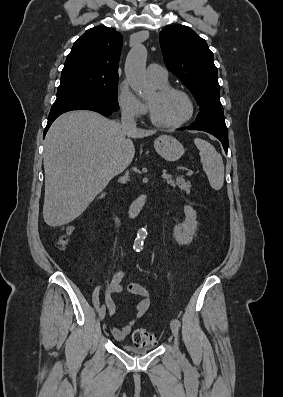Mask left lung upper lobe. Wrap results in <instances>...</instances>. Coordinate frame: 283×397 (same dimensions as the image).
Returning a JSON list of instances; mask_svg holds the SVG:
<instances>
[{
	"mask_svg": "<svg viewBox=\"0 0 283 397\" xmlns=\"http://www.w3.org/2000/svg\"><path fill=\"white\" fill-rule=\"evenodd\" d=\"M159 41L167 69L192 92L200 107L196 120L225 124L217 68L206 41L184 25L165 27Z\"/></svg>",
	"mask_w": 283,
	"mask_h": 397,
	"instance_id": "1",
	"label": "left lung upper lobe"
}]
</instances>
